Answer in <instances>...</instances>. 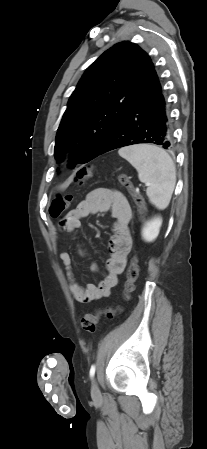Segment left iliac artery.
<instances>
[{"label":"left iliac artery","mask_w":207,"mask_h":449,"mask_svg":"<svg viewBox=\"0 0 207 449\" xmlns=\"http://www.w3.org/2000/svg\"><path fill=\"white\" fill-rule=\"evenodd\" d=\"M95 370H96V367H95V365H92L91 366V368H90V377L92 378V377H94V374H95Z\"/></svg>","instance_id":"44dca946"}]
</instances>
